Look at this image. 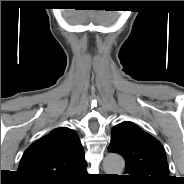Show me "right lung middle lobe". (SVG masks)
<instances>
[{
    "mask_svg": "<svg viewBox=\"0 0 184 184\" xmlns=\"http://www.w3.org/2000/svg\"><path fill=\"white\" fill-rule=\"evenodd\" d=\"M39 184H55V183H39Z\"/></svg>",
    "mask_w": 184,
    "mask_h": 184,
    "instance_id": "1",
    "label": "right lung middle lobe"
}]
</instances>
